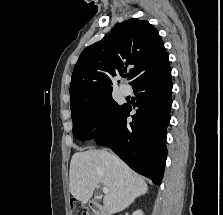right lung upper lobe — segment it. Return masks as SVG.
<instances>
[{
  "label": "right lung upper lobe",
  "instance_id": "obj_1",
  "mask_svg": "<svg viewBox=\"0 0 223 215\" xmlns=\"http://www.w3.org/2000/svg\"><path fill=\"white\" fill-rule=\"evenodd\" d=\"M130 69L132 87L170 69L168 54L158 31L146 20L129 19L114 26L102 40L87 47L72 74L70 107L112 95L110 75Z\"/></svg>",
  "mask_w": 223,
  "mask_h": 215
}]
</instances>
